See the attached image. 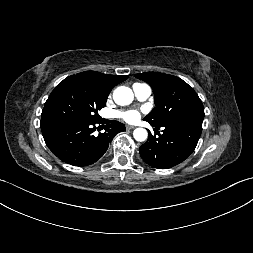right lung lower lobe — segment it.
Listing matches in <instances>:
<instances>
[{"label":"right lung lower lobe","mask_w":253,"mask_h":253,"mask_svg":"<svg viewBox=\"0 0 253 253\" xmlns=\"http://www.w3.org/2000/svg\"><path fill=\"white\" fill-rule=\"evenodd\" d=\"M102 122L52 121L41 123V130L46 145L59 159L74 166H87L102 157L117 133L125 131L124 124L106 120L105 132L94 135L96 125Z\"/></svg>","instance_id":"1"}]
</instances>
